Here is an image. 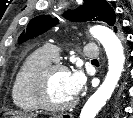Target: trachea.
<instances>
[{
    "mask_svg": "<svg viewBox=\"0 0 133 118\" xmlns=\"http://www.w3.org/2000/svg\"><path fill=\"white\" fill-rule=\"evenodd\" d=\"M92 62H98V60L97 59H94V60H92Z\"/></svg>",
    "mask_w": 133,
    "mask_h": 118,
    "instance_id": "obj_1",
    "label": "trachea"
}]
</instances>
